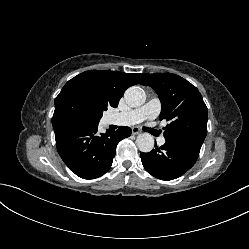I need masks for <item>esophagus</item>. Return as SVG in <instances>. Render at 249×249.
Here are the masks:
<instances>
[{
    "label": "esophagus",
    "instance_id": "obj_1",
    "mask_svg": "<svg viewBox=\"0 0 249 249\" xmlns=\"http://www.w3.org/2000/svg\"><path fill=\"white\" fill-rule=\"evenodd\" d=\"M141 130L138 127H133L132 128V134L137 135L140 134Z\"/></svg>",
    "mask_w": 249,
    "mask_h": 249
}]
</instances>
